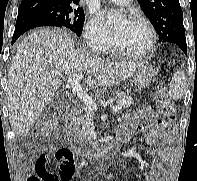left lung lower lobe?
I'll use <instances>...</instances> for the list:
<instances>
[{
	"label": "left lung lower lobe",
	"instance_id": "1",
	"mask_svg": "<svg viewBox=\"0 0 197 181\" xmlns=\"http://www.w3.org/2000/svg\"><path fill=\"white\" fill-rule=\"evenodd\" d=\"M178 45L179 48L182 49V51L187 55V44L186 41L185 42H177L176 43Z\"/></svg>",
	"mask_w": 197,
	"mask_h": 181
}]
</instances>
